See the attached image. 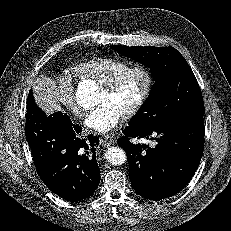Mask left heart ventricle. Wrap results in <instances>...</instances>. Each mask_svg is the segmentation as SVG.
<instances>
[{
    "label": "left heart ventricle",
    "mask_w": 231,
    "mask_h": 231,
    "mask_svg": "<svg viewBox=\"0 0 231 231\" xmlns=\"http://www.w3.org/2000/svg\"><path fill=\"white\" fill-rule=\"evenodd\" d=\"M143 86L144 76L140 72H132L122 80L114 92L102 88L98 103L111 102L124 112L138 98Z\"/></svg>",
    "instance_id": "1"
}]
</instances>
